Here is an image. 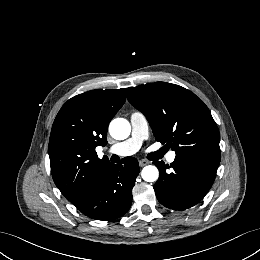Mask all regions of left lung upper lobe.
Instances as JSON below:
<instances>
[{
    "mask_svg": "<svg viewBox=\"0 0 260 260\" xmlns=\"http://www.w3.org/2000/svg\"><path fill=\"white\" fill-rule=\"evenodd\" d=\"M128 100L144 112L155 139L169 140L177 155L220 161L217 125L191 91L171 83H149L128 88Z\"/></svg>",
    "mask_w": 260,
    "mask_h": 260,
    "instance_id": "5c2ea615",
    "label": "left lung upper lobe"
}]
</instances>
